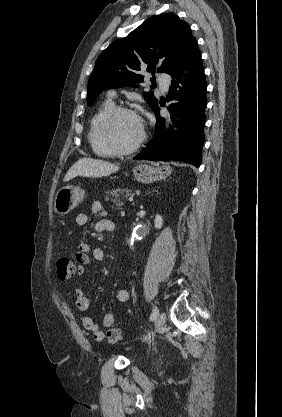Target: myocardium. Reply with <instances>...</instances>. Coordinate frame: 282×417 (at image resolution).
Masks as SVG:
<instances>
[{
  "label": "myocardium",
  "mask_w": 282,
  "mask_h": 417,
  "mask_svg": "<svg viewBox=\"0 0 282 417\" xmlns=\"http://www.w3.org/2000/svg\"><path fill=\"white\" fill-rule=\"evenodd\" d=\"M132 115L137 117L141 123V135L140 137L130 145H117L111 137V128L115 119L121 115ZM101 136L104 145L113 153H125L133 151L139 148L147 137L146 128L144 126L143 120L141 117L134 111L125 107H114L103 119Z\"/></svg>",
  "instance_id": "1"
}]
</instances>
